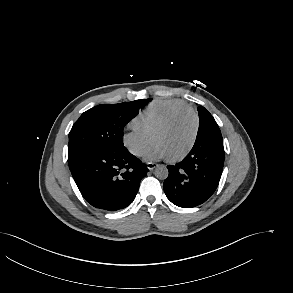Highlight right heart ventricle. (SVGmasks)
I'll return each instance as SVG.
<instances>
[{
    "instance_id": "e07e8e85",
    "label": "right heart ventricle",
    "mask_w": 293,
    "mask_h": 293,
    "mask_svg": "<svg viewBox=\"0 0 293 293\" xmlns=\"http://www.w3.org/2000/svg\"><path fill=\"white\" fill-rule=\"evenodd\" d=\"M188 107L189 105L180 99L155 100L133 120V128L151 137L155 129L171 114Z\"/></svg>"
}]
</instances>
